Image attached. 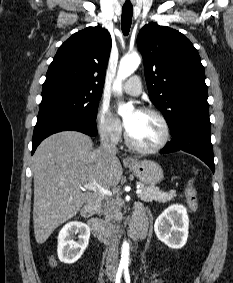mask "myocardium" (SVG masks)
<instances>
[{
  "label": "myocardium",
  "instance_id": "f54148a6",
  "mask_svg": "<svg viewBox=\"0 0 233 283\" xmlns=\"http://www.w3.org/2000/svg\"><path fill=\"white\" fill-rule=\"evenodd\" d=\"M141 112L152 114L156 116L162 124L163 127V137L161 141L154 146L146 147L136 143L132 137L130 136L128 130L126 129L125 138L127 144L134 150L141 152V153H156L162 150L169 142L170 139V126L166 119V117L157 109L151 107H144L140 110Z\"/></svg>",
  "mask_w": 233,
  "mask_h": 283
}]
</instances>
